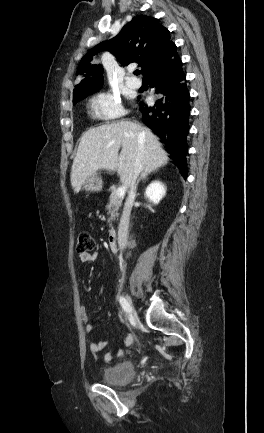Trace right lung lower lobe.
I'll list each match as a JSON object with an SVG mask.
<instances>
[{
  "mask_svg": "<svg viewBox=\"0 0 264 433\" xmlns=\"http://www.w3.org/2000/svg\"><path fill=\"white\" fill-rule=\"evenodd\" d=\"M145 78L155 93V103L150 107L143 101L139 103L143 122L161 138L170 158L186 179L190 95L182 62L176 55L167 63L149 71Z\"/></svg>",
  "mask_w": 264,
  "mask_h": 433,
  "instance_id": "98d812e1",
  "label": "right lung lower lobe"
}]
</instances>
